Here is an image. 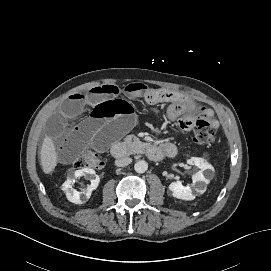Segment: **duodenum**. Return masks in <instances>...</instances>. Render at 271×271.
<instances>
[{
    "label": "duodenum",
    "mask_w": 271,
    "mask_h": 271,
    "mask_svg": "<svg viewBox=\"0 0 271 271\" xmlns=\"http://www.w3.org/2000/svg\"><path fill=\"white\" fill-rule=\"evenodd\" d=\"M146 155L151 159L158 161L166 156L167 151L163 147L155 145H146L144 147ZM129 154V149L125 143H116L111 147V155L114 158H122Z\"/></svg>",
    "instance_id": "410a0bca"
}]
</instances>
